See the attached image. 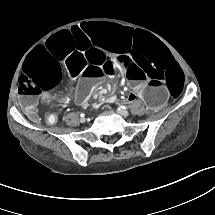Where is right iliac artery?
<instances>
[{
    "mask_svg": "<svg viewBox=\"0 0 215 215\" xmlns=\"http://www.w3.org/2000/svg\"><path fill=\"white\" fill-rule=\"evenodd\" d=\"M80 116H81V117H84V114H81Z\"/></svg>",
    "mask_w": 215,
    "mask_h": 215,
    "instance_id": "82829eb1",
    "label": "right iliac artery"
}]
</instances>
